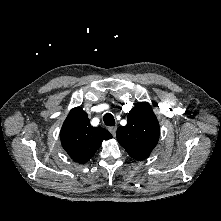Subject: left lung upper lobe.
Returning a JSON list of instances; mask_svg holds the SVG:
<instances>
[{"label": "left lung upper lobe", "instance_id": "left-lung-upper-lobe-1", "mask_svg": "<svg viewBox=\"0 0 221 221\" xmlns=\"http://www.w3.org/2000/svg\"><path fill=\"white\" fill-rule=\"evenodd\" d=\"M119 144L135 160L141 161L149 156L156 146L160 130L159 123L146 103L135 104L127 116V125L117 129Z\"/></svg>", "mask_w": 221, "mask_h": 221}]
</instances>
